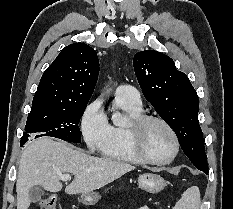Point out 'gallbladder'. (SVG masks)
Instances as JSON below:
<instances>
[{"label": "gallbladder", "mask_w": 233, "mask_h": 209, "mask_svg": "<svg viewBox=\"0 0 233 209\" xmlns=\"http://www.w3.org/2000/svg\"><path fill=\"white\" fill-rule=\"evenodd\" d=\"M43 195L44 191L39 185L31 187L29 190V199L33 203L38 202Z\"/></svg>", "instance_id": "bac80fb5"}]
</instances>
